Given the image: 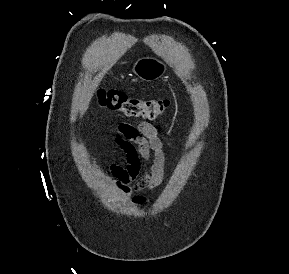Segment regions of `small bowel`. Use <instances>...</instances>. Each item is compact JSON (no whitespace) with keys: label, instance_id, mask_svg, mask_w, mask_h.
Segmentation results:
<instances>
[{"label":"small bowel","instance_id":"obj_1","mask_svg":"<svg viewBox=\"0 0 289 274\" xmlns=\"http://www.w3.org/2000/svg\"><path fill=\"white\" fill-rule=\"evenodd\" d=\"M114 142L124 154L125 165L112 163L110 180L133 204L141 206L147 202L141 192L164 182L168 162L165 137L153 124L140 121L136 125L121 123ZM142 162L149 168L141 174Z\"/></svg>","mask_w":289,"mask_h":274}]
</instances>
